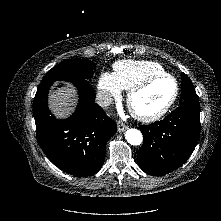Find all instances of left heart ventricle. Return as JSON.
<instances>
[{"label":"left heart ventricle","mask_w":221,"mask_h":221,"mask_svg":"<svg viewBox=\"0 0 221 221\" xmlns=\"http://www.w3.org/2000/svg\"><path fill=\"white\" fill-rule=\"evenodd\" d=\"M174 84L170 79H160L139 93L133 100V108L142 114H152L170 99Z\"/></svg>","instance_id":"left-heart-ventricle-1"}]
</instances>
